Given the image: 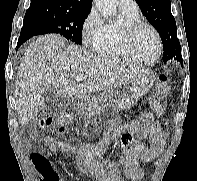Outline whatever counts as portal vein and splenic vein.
I'll return each mask as SVG.
<instances>
[{
    "mask_svg": "<svg viewBox=\"0 0 197 181\" xmlns=\"http://www.w3.org/2000/svg\"><path fill=\"white\" fill-rule=\"evenodd\" d=\"M74 79H75L76 81H84V80H86V76L77 75V76L74 77Z\"/></svg>",
    "mask_w": 197,
    "mask_h": 181,
    "instance_id": "1",
    "label": "portal vein and splenic vein"
}]
</instances>
